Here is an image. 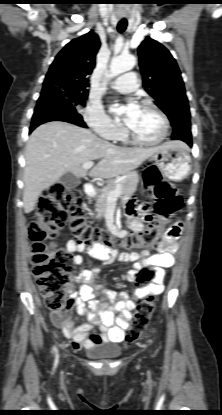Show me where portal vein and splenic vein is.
I'll return each instance as SVG.
<instances>
[{
    "mask_svg": "<svg viewBox=\"0 0 222 415\" xmlns=\"http://www.w3.org/2000/svg\"><path fill=\"white\" fill-rule=\"evenodd\" d=\"M93 165H94L93 161H88V162L83 163L82 168L83 169H90ZM121 190H122V187L118 186L114 191L109 192L108 193V198H107L108 203L115 204L116 201H117V198L121 194Z\"/></svg>",
    "mask_w": 222,
    "mask_h": 415,
    "instance_id": "1",
    "label": "portal vein and splenic vein"
}]
</instances>
